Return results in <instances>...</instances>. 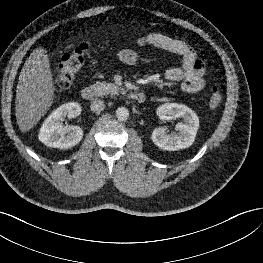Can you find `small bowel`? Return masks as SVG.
Returning <instances> with one entry per match:
<instances>
[{
  "label": "small bowel",
  "instance_id": "small-bowel-1",
  "mask_svg": "<svg viewBox=\"0 0 263 263\" xmlns=\"http://www.w3.org/2000/svg\"><path fill=\"white\" fill-rule=\"evenodd\" d=\"M139 47L150 45L175 54L181 59V66L165 71L163 78L169 82L182 81L181 88L186 93H196L203 89L205 65L194 49L182 37H170L162 33H150L138 39ZM119 60L127 65L138 62L137 52L123 49L118 53Z\"/></svg>",
  "mask_w": 263,
  "mask_h": 263
}]
</instances>
